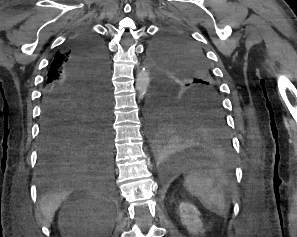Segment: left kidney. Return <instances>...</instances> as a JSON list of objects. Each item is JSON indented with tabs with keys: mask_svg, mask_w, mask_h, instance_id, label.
I'll return each instance as SVG.
<instances>
[{
	"mask_svg": "<svg viewBox=\"0 0 297 237\" xmlns=\"http://www.w3.org/2000/svg\"><path fill=\"white\" fill-rule=\"evenodd\" d=\"M179 210L181 223L186 227L189 233L196 235L199 232H205L200 219V212L193 204L182 202L179 205Z\"/></svg>",
	"mask_w": 297,
	"mask_h": 237,
	"instance_id": "obj_1",
	"label": "left kidney"
}]
</instances>
